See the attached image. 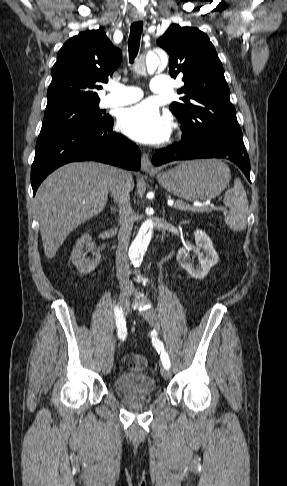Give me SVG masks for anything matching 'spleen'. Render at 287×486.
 Returning a JSON list of instances; mask_svg holds the SVG:
<instances>
[{
  "instance_id": "3e777b00",
  "label": "spleen",
  "mask_w": 287,
  "mask_h": 486,
  "mask_svg": "<svg viewBox=\"0 0 287 486\" xmlns=\"http://www.w3.org/2000/svg\"><path fill=\"white\" fill-rule=\"evenodd\" d=\"M223 203L229 208L225 215V223L233 231H242L246 228L249 215V203L246 191L239 178L234 181V187L227 190Z\"/></svg>"
}]
</instances>
